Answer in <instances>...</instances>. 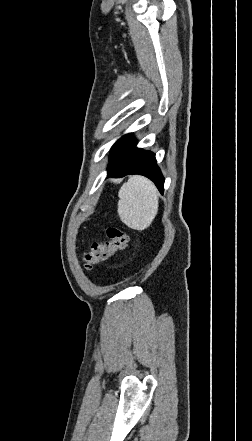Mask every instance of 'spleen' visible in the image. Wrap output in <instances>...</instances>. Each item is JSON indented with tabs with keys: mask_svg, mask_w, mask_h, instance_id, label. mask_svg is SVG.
I'll list each match as a JSON object with an SVG mask.
<instances>
[{
	"mask_svg": "<svg viewBox=\"0 0 252 441\" xmlns=\"http://www.w3.org/2000/svg\"><path fill=\"white\" fill-rule=\"evenodd\" d=\"M118 214L134 230L150 226L158 212V190L143 176H132L119 190Z\"/></svg>",
	"mask_w": 252,
	"mask_h": 441,
	"instance_id": "obj_1",
	"label": "spleen"
}]
</instances>
